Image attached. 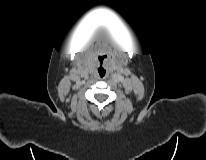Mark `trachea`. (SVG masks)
<instances>
[{
  "mask_svg": "<svg viewBox=\"0 0 206 160\" xmlns=\"http://www.w3.org/2000/svg\"><path fill=\"white\" fill-rule=\"evenodd\" d=\"M99 73H100V76H104V74H105V71H99Z\"/></svg>",
  "mask_w": 206,
  "mask_h": 160,
  "instance_id": "trachea-1",
  "label": "trachea"
}]
</instances>
